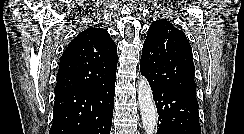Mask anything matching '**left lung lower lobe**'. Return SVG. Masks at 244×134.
Wrapping results in <instances>:
<instances>
[{"label":"left lung lower lobe","mask_w":244,"mask_h":134,"mask_svg":"<svg viewBox=\"0 0 244 134\" xmlns=\"http://www.w3.org/2000/svg\"><path fill=\"white\" fill-rule=\"evenodd\" d=\"M151 89L159 114L157 134H201L196 93Z\"/></svg>","instance_id":"left-lung-lower-lobe-1"}]
</instances>
